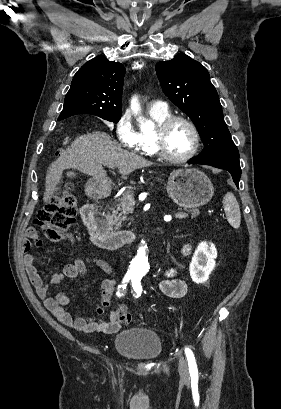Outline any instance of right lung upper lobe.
<instances>
[{
  "label": "right lung upper lobe",
  "instance_id": "obj_1",
  "mask_svg": "<svg viewBox=\"0 0 281 409\" xmlns=\"http://www.w3.org/2000/svg\"><path fill=\"white\" fill-rule=\"evenodd\" d=\"M125 68L121 63L97 56L75 74L58 120L76 114L121 116Z\"/></svg>",
  "mask_w": 281,
  "mask_h": 409
}]
</instances>
